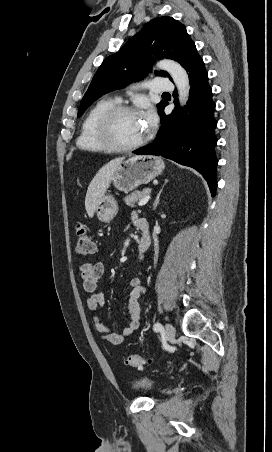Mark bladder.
<instances>
[{
	"instance_id": "obj_1",
	"label": "bladder",
	"mask_w": 272,
	"mask_h": 452,
	"mask_svg": "<svg viewBox=\"0 0 272 452\" xmlns=\"http://www.w3.org/2000/svg\"><path fill=\"white\" fill-rule=\"evenodd\" d=\"M155 386V381L151 377L139 375L131 381L130 389L133 393L149 394L154 390Z\"/></svg>"
}]
</instances>
